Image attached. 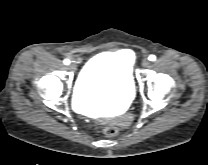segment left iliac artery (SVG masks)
<instances>
[{"instance_id": "1", "label": "left iliac artery", "mask_w": 208, "mask_h": 165, "mask_svg": "<svg viewBox=\"0 0 208 165\" xmlns=\"http://www.w3.org/2000/svg\"><path fill=\"white\" fill-rule=\"evenodd\" d=\"M148 59L150 61H155L156 60V56L155 55H150Z\"/></svg>"}]
</instances>
